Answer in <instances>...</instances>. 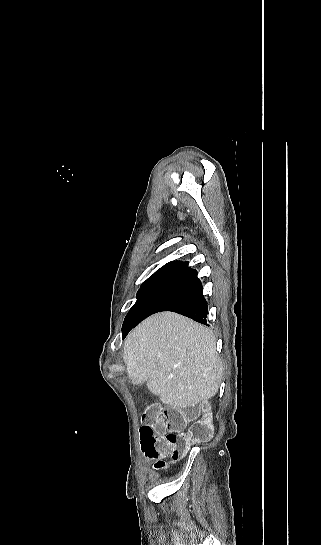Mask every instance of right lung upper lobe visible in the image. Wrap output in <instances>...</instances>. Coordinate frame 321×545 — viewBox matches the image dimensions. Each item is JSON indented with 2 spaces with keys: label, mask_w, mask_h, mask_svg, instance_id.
Instances as JSON below:
<instances>
[{
  "label": "right lung upper lobe",
  "mask_w": 321,
  "mask_h": 545,
  "mask_svg": "<svg viewBox=\"0 0 321 545\" xmlns=\"http://www.w3.org/2000/svg\"><path fill=\"white\" fill-rule=\"evenodd\" d=\"M188 262H182V261H172L167 264H165L162 269H172V270H178L184 266H186Z\"/></svg>",
  "instance_id": "obj_1"
}]
</instances>
